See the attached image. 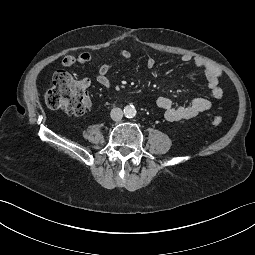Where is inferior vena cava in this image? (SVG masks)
Returning a JSON list of instances; mask_svg holds the SVG:
<instances>
[{
	"label": "inferior vena cava",
	"instance_id": "obj_1",
	"mask_svg": "<svg viewBox=\"0 0 255 255\" xmlns=\"http://www.w3.org/2000/svg\"><path fill=\"white\" fill-rule=\"evenodd\" d=\"M113 121H120L123 117V111L120 108H113L110 112Z\"/></svg>",
	"mask_w": 255,
	"mask_h": 255
}]
</instances>
